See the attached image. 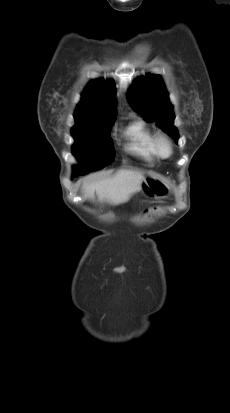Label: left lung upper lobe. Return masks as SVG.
<instances>
[{"label":"left lung upper lobe","instance_id":"1","mask_svg":"<svg viewBox=\"0 0 230 413\" xmlns=\"http://www.w3.org/2000/svg\"><path fill=\"white\" fill-rule=\"evenodd\" d=\"M130 106L141 113L149 122H157L177 142L179 135L173 126V106L164 83L159 75L147 74L137 78L127 95Z\"/></svg>","mask_w":230,"mask_h":413}]
</instances>
